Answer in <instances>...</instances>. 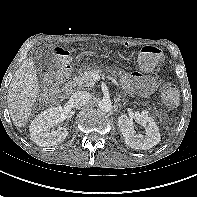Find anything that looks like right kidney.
Wrapping results in <instances>:
<instances>
[{"instance_id": "obj_1", "label": "right kidney", "mask_w": 197, "mask_h": 197, "mask_svg": "<svg viewBox=\"0 0 197 197\" xmlns=\"http://www.w3.org/2000/svg\"><path fill=\"white\" fill-rule=\"evenodd\" d=\"M61 107H51L38 114L30 125L31 140L41 147L55 146L68 135L67 128L50 131L51 125L61 121Z\"/></svg>"}]
</instances>
